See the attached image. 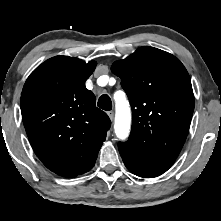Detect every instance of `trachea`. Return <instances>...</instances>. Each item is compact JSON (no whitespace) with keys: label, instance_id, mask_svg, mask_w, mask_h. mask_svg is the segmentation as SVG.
Listing matches in <instances>:
<instances>
[{"label":"trachea","instance_id":"trachea-1","mask_svg":"<svg viewBox=\"0 0 221 221\" xmlns=\"http://www.w3.org/2000/svg\"><path fill=\"white\" fill-rule=\"evenodd\" d=\"M97 105L105 111H110L112 109V102L107 94H103L100 96Z\"/></svg>","mask_w":221,"mask_h":221}]
</instances>
